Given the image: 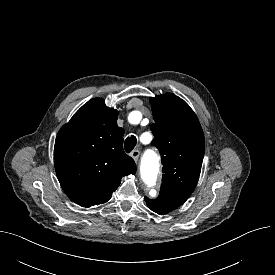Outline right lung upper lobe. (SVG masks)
I'll list each match as a JSON object with an SVG mask.
<instances>
[{"label": "right lung upper lobe", "mask_w": 275, "mask_h": 275, "mask_svg": "<svg viewBox=\"0 0 275 275\" xmlns=\"http://www.w3.org/2000/svg\"><path fill=\"white\" fill-rule=\"evenodd\" d=\"M118 111L101 98L84 104L56 137L54 164L67 196L83 207L107 202L123 176L135 174L134 160L123 151L124 129Z\"/></svg>", "instance_id": "right-lung-upper-lobe-1"}]
</instances>
